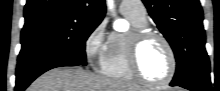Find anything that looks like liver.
Masks as SVG:
<instances>
[{
  "instance_id": "obj_1",
  "label": "liver",
  "mask_w": 220,
  "mask_h": 91,
  "mask_svg": "<svg viewBox=\"0 0 220 91\" xmlns=\"http://www.w3.org/2000/svg\"><path fill=\"white\" fill-rule=\"evenodd\" d=\"M27 91H138L133 85L85 72L79 67H60L37 78Z\"/></svg>"
}]
</instances>
